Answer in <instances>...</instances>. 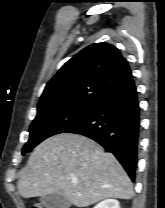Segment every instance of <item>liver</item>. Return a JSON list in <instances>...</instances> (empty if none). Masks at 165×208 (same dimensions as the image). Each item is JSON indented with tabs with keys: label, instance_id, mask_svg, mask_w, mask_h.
Segmentation results:
<instances>
[{
	"label": "liver",
	"instance_id": "1",
	"mask_svg": "<svg viewBox=\"0 0 165 208\" xmlns=\"http://www.w3.org/2000/svg\"><path fill=\"white\" fill-rule=\"evenodd\" d=\"M17 188L23 198L62 192L77 207L133 196L131 180L114 155L94 140L72 133L57 134L40 143Z\"/></svg>",
	"mask_w": 165,
	"mask_h": 208
}]
</instances>
